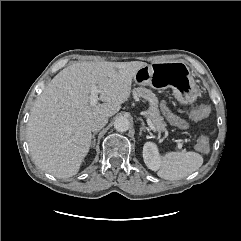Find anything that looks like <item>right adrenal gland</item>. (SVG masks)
<instances>
[{"label":"right adrenal gland","instance_id":"obj_1","mask_svg":"<svg viewBox=\"0 0 241 241\" xmlns=\"http://www.w3.org/2000/svg\"><path fill=\"white\" fill-rule=\"evenodd\" d=\"M97 134V132H94L93 135H92V144H91V147H95V144H96V139H95V135Z\"/></svg>","mask_w":241,"mask_h":241}]
</instances>
